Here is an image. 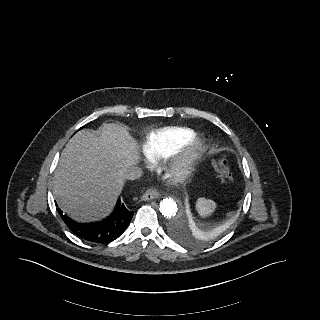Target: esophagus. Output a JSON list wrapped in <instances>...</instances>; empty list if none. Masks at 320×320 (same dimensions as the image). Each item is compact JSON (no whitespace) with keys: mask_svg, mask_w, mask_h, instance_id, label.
I'll return each instance as SVG.
<instances>
[{"mask_svg":"<svg viewBox=\"0 0 320 320\" xmlns=\"http://www.w3.org/2000/svg\"><path fill=\"white\" fill-rule=\"evenodd\" d=\"M160 191L156 188H150L142 195V200L149 201L160 197Z\"/></svg>","mask_w":320,"mask_h":320,"instance_id":"obj_1","label":"esophagus"}]
</instances>
